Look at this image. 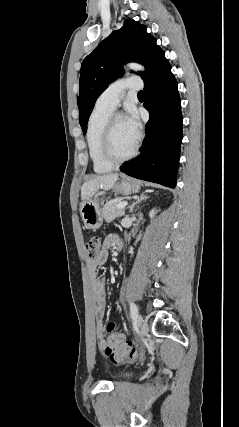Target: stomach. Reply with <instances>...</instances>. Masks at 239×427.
Here are the masks:
<instances>
[{"instance_id": "1", "label": "stomach", "mask_w": 239, "mask_h": 427, "mask_svg": "<svg viewBox=\"0 0 239 427\" xmlns=\"http://www.w3.org/2000/svg\"><path fill=\"white\" fill-rule=\"evenodd\" d=\"M114 191L121 195H130L139 191V185L131 178L123 177L114 186ZM80 214L84 225L91 230H96L103 224V215L97 198H91L82 202Z\"/></svg>"}]
</instances>
